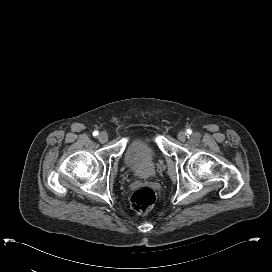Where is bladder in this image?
I'll use <instances>...</instances> for the list:
<instances>
[{"label":"bladder","instance_id":"bladder-1","mask_svg":"<svg viewBox=\"0 0 272 272\" xmlns=\"http://www.w3.org/2000/svg\"><path fill=\"white\" fill-rule=\"evenodd\" d=\"M159 159L157 150L151 141L142 138L133 139L125 153V160L140 177L153 174Z\"/></svg>","mask_w":272,"mask_h":272}]
</instances>
